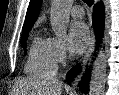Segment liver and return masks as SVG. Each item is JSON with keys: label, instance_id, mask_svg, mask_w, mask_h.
Returning <instances> with one entry per match:
<instances>
[{"label": "liver", "instance_id": "6515ba94", "mask_svg": "<svg viewBox=\"0 0 119 95\" xmlns=\"http://www.w3.org/2000/svg\"><path fill=\"white\" fill-rule=\"evenodd\" d=\"M18 86L23 88V93L32 87L35 95H61L63 84L56 78L40 76L37 80H24Z\"/></svg>", "mask_w": 119, "mask_h": 95}]
</instances>
